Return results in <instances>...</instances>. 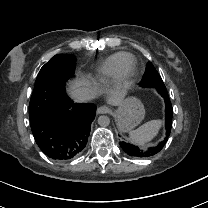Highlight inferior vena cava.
I'll use <instances>...</instances> for the list:
<instances>
[{
	"label": "inferior vena cava",
	"instance_id": "obj_1",
	"mask_svg": "<svg viewBox=\"0 0 208 208\" xmlns=\"http://www.w3.org/2000/svg\"><path fill=\"white\" fill-rule=\"evenodd\" d=\"M72 95L79 101H85L93 97L94 91L86 87H79L72 91Z\"/></svg>",
	"mask_w": 208,
	"mask_h": 208
}]
</instances>
